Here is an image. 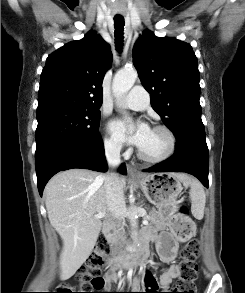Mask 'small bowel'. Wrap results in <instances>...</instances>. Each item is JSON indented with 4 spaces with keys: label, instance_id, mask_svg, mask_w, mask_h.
Wrapping results in <instances>:
<instances>
[{
    "label": "small bowel",
    "instance_id": "small-bowel-1",
    "mask_svg": "<svg viewBox=\"0 0 245 293\" xmlns=\"http://www.w3.org/2000/svg\"><path fill=\"white\" fill-rule=\"evenodd\" d=\"M185 237H176L171 231H164L161 233H155L151 230H144L141 235V240L146 243L153 240L156 244L157 252L163 261H172L178 251L179 244L185 241ZM179 276V266L172 264L169 268L164 270L160 276V288L163 291H168L171 287L172 281ZM106 285L104 288H109L113 283L119 287L125 286V281L118 277L116 272L108 271L105 276ZM134 287H139L140 282L134 279L130 282ZM144 286L151 287L152 282L149 276L144 277ZM166 293V292H163Z\"/></svg>",
    "mask_w": 245,
    "mask_h": 293
}]
</instances>
